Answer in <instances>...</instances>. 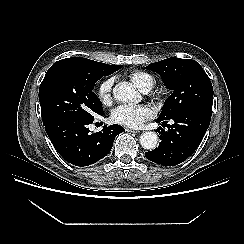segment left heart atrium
Segmentation results:
<instances>
[{
	"mask_svg": "<svg viewBox=\"0 0 244 244\" xmlns=\"http://www.w3.org/2000/svg\"><path fill=\"white\" fill-rule=\"evenodd\" d=\"M152 116L150 108L144 105H120L112 111L113 122L129 127L139 128Z\"/></svg>",
	"mask_w": 244,
	"mask_h": 244,
	"instance_id": "obj_1",
	"label": "left heart atrium"
}]
</instances>
